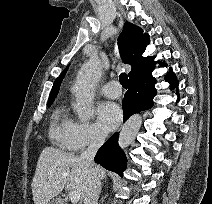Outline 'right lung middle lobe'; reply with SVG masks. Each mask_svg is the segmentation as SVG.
<instances>
[{
    "label": "right lung middle lobe",
    "mask_w": 212,
    "mask_h": 204,
    "mask_svg": "<svg viewBox=\"0 0 212 204\" xmlns=\"http://www.w3.org/2000/svg\"><path fill=\"white\" fill-rule=\"evenodd\" d=\"M52 102H53V101H51V102H48V107H49V106L52 104Z\"/></svg>",
    "instance_id": "obj_1"
}]
</instances>
